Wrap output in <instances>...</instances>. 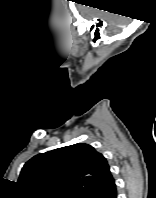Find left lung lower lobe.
I'll list each match as a JSON object with an SVG mask.
<instances>
[{"mask_svg":"<svg viewBox=\"0 0 156 198\" xmlns=\"http://www.w3.org/2000/svg\"><path fill=\"white\" fill-rule=\"evenodd\" d=\"M88 198H117L115 180L112 175L102 187L93 192Z\"/></svg>","mask_w":156,"mask_h":198,"instance_id":"obj_1","label":"left lung lower lobe"}]
</instances>
